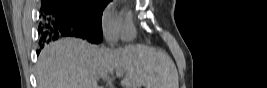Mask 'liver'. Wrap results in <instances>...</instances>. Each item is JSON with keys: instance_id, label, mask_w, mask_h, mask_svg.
I'll use <instances>...</instances> for the list:
<instances>
[{"instance_id": "liver-1", "label": "liver", "mask_w": 267, "mask_h": 88, "mask_svg": "<svg viewBox=\"0 0 267 88\" xmlns=\"http://www.w3.org/2000/svg\"><path fill=\"white\" fill-rule=\"evenodd\" d=\"M125 74V88H178L172 59L142 45L120 49L98 48L67 37L45 46L36 65L38 88H101L97 80L113 72Z\"/></svg>"}]
</instances>
